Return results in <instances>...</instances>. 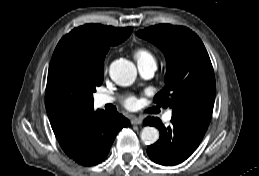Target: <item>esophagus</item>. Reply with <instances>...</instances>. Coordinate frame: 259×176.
Segmentation results:
<instances>
[{
  "label": "esophagus",
  "mask_w": 259,
  "mask_h": 176,
  "mask_svg": "<svg viewBox=\"0 0 259 176\" xmlns=\"http://www.w3.org/2000/svg\"><path fill=\"white\" fill-rule=\"evenodd\" d=\"M131 124H133V125H140V124H142V118L133 116L131 118Z\"/></svg>",
  "instance_id": "esophagus-1"
}]
</instances>
